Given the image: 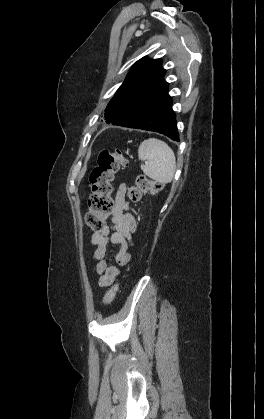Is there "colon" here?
Here are the masks:
<instances>
[{"mask_svg": "<svg viewBox=\"0 0 264 419\" xmlns=\"http://www.w3.org/2000/svg\"><path fill=\"white\" fill-rule=\"evenodd\" d=\"M127 165V160L121 152L109 150L102 151L97 160V165L90 174L91 195L89 197V210L85 216L86 224L94 231H100L105 226V219L110 216L115 208L113 182L115 173ZM161 184L140 175L128 190V197L137 203L143 193L160 191ZM118 285H113L105 295L104 303L110 304L117 293Z\"/></svg>", "mask_w": 264, "mask_h": 419, "instance_id": "colon-1", "label": "colon"}]
</instances>
